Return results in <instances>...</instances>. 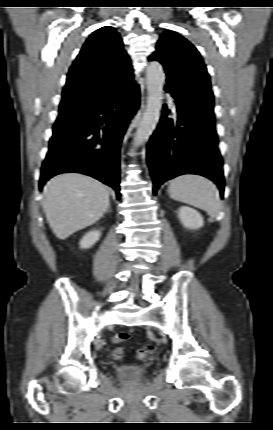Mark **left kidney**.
I'll list each match as a JSON object with an SVG mask.
<instances>
[{"instance_id":"obj_1","label":"left kidney","mask_w":273,"mask_h":430,"mask_svg":"<svg viewBox=\"0 0 273 430\" xmlns=\"http://www.w3.org/2000/svg\"><path fill=\"white\" fill-rule=\"evenodd\" d=\"M178 216L180 222L185 228L196 230L204 225L203 217L201 214L188 206H182L179 208Z\"/></svg>"}]
</instances>
